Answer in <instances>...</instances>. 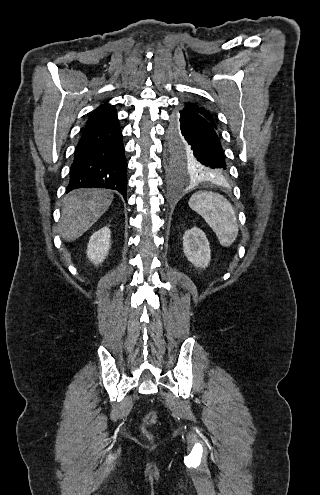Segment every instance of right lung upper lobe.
<instances>
[{
	"label": "right lung upper lobe",
	"instance_id": "1",
	"mask_svg": "<svg viewBox=\"0 0 320 495\" xmlns=\"http://www.w3.org/2000/svg\"><path fill=\"white\" fill-rule=\"evenodd\" d=\"M109 100H106L97 107L87 120L85 127L99 124L107 120L117 119V112L113 105H110Z\"/></svg>",
	"mask_w": 320,
	"mask_h": 495
}]
</instances>
